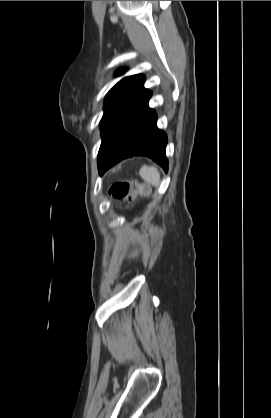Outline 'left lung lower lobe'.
Masks as SVG:
<instances>
[{"instance_id": "1", "label": "left lung lower lobe", "mask_w": 271, "mask_h": 418, "mask_svg": "<svg viewBox=\"0 0 271 418\" xmlns=\"http://www.w3.org/2000/svg\"><path fill=\"white\" fill-rule=\"evenodd\" d=\"M151 92L107 136L98 153V169L103 174L119 161L147 156L165 171L167 136L156 125V113L148 107Z\"/></svg>"}]
</instances>
